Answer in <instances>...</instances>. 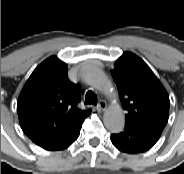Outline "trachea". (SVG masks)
Listing matches in <instances>:
<instances>
[{
	"label": "trachea",
	"mask_w": 184,
	"mask_h": 174,
	"mask_svg": "<svg viewBox=\"0 0 184 174\" xmlns=\"http://www.w3.org/2000/svg\"><path fill=\"white\" fill-rule=\"evenodd\" d=\"M85 104H93V105L97 104V96L93 91L89 90L86 92Z\"/></svg>",
	"instance_id": "1"
}]
</instances>
